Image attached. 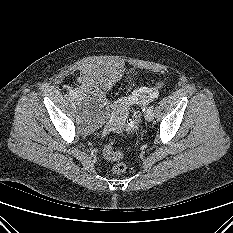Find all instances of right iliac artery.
Here are the masks:
<instances>
[{
    "mask_svg": "<svg viewBox=\"0 0 233 233\" xmlns=\"http://www.w3.org/2000/svg\"><path fill=\"white\" fill-rule=\"evenodd\" d=\"M69 95H70L71 97H73V96L75 95V92H74L73 90H70V91H69Z\"/></svg>",
    "mask_w": 233,
    "mask_h": 233,
    "instance_id": "82829eb1",
    "label": "right iliac artery"
}]
</instances>
